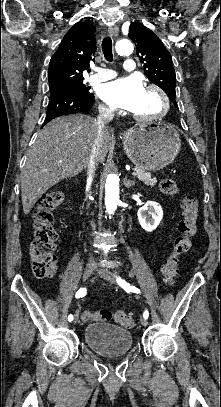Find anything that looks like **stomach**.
<instances>
[{
	"instance_id": "obj_1",
	"label": "stomach",
	"mask_w": 221,
	"mask_h": 407,
	"mask_svg": "<svg viewBox=\"0 0 221 407\" xmlns=\"http://www.w3.org/2000/svg\"><path fill=\"white\" fill-rule=\"evenodd\" d=\"M123 146L128 158L138 168L158 171L175 159L181 139L172 125L136 124L123 134Z\"/></svg>"
}]
</instances>
